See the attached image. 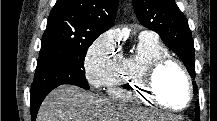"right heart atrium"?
<instances>
[{"mask_svg": "<svg viewBox=\"0 0 217 121\" xmlns=\"http://www.w3.org/2000/svg\"><path fill=\"white\" fill-rule=\"evenodd\" d=\"M121 60L120 46L111 32L101 34L85 58V73L94 88L105 87Z\"/></svg>", "mask_w": 217, "mask_h": 121, "instance_id": "right-heart-atrium-1", "label": "right heart atrium"}]
</instances>
